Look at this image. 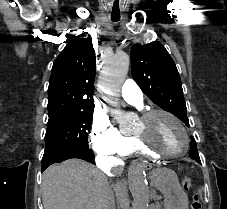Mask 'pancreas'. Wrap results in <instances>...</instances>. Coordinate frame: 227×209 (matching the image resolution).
Here are the masks:
<instances>
[{
    "mask_svg": "<svg viewBox=\"0 0 227 209\" xmlns=\"http://www.w3.org/2000/svg\"><path fill=\"white\" fill-rule=\"evenodd\" d=\"M157 199H161V197H157ZM154 206L156 207V209H164L162 203H156Z\"/></svg>",
    "mask_w": 227,
    "mask_h": 209,
    "instance_id": "cf45deb5",
    "label": "pancreas"
}]
</instances>
